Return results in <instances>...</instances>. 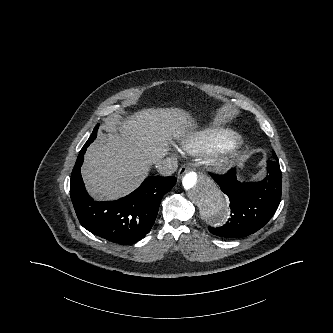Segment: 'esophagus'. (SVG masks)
Segmentation results:
<instances>
[{"label": "esophagus", "instance_id": "obj_1", "mask_svg": "<svg viewBox=\"0 0 333 333\" xmlns=\"http://www.w3.org/2000/svg\"><path fill=\"white\" fill-rule=\"evenodd\" d=\"M188 170H189V167L186 165H183L178 171V178H181Z\"/></svg>", "mask_w": 333, "mask_h": 333}]
</instances>
